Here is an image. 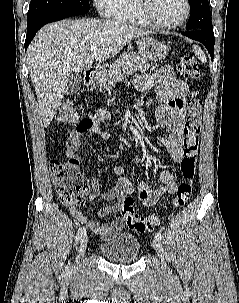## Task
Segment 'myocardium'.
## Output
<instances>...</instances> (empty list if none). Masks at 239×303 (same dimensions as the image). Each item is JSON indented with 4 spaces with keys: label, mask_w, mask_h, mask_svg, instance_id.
<instances>
[{
    "label": "myocardium",
    "mask_w": 239,
    "mask_h": 303,
    "mask_svg": "<svg viewBox=\"0 0 239 303\" xmlns=\"http://www.w3.org/2000/svg\"><path fill=\"white\" fill-rule=\"evenodd\" d=\"M137 4V10L145 22L153 28L161 30H172L182 26L190 17L191 4L189 0H183L185 4V14L178 22L171 24H163L156 21L152 15V8L154 0H135Z\"/></svg>",
    "instance_id": "f54148a6"
}]
</instances>
